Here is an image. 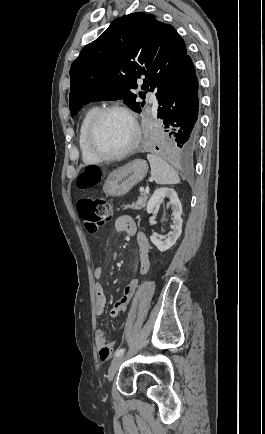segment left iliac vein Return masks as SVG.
Returning a JSON list of instances; mask_svg holds the SVG:
<instances>
[{"label":"left iliac vein","instance_id":"left-iliac-vein-1","mask_svg":"<svg viewBox=\"0 0 265 434\" xmlns=\"http://www.w3.org/2000/svg\"><path fill=\"white\" fill-rule=\"evenodd\" d=\"M125 360V356L124 355H120L118 357H116L112 362L111 365L109 367V372L107 375V378L109 381H112L114 378V375L116 374V372L118 371L121 363Z\"/></svg>","mask_w":265,"mask_h":434}]
</instances>
